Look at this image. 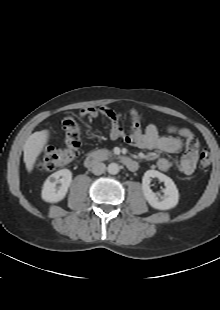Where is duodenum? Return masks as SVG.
<instances>
[{"label": "duodenum", "mask_w": 220, "mask_h": 310, "mask_svg": "<svg viewBox=\"0 0 220 310\" xmlns=\"http://www.w3.org/2000/svg\"><path fill=\"white\" fill-rule=\"evenodd\" d=\"M114 158H116L115 155L110 154L106 150H100L85 156L83 164L85 167L91 168L102 161L113 160ZM119 159L129 171L133 172L138 169V163L134 159L127 156H119Z\"/></svg>", "instance_id": "duodenum-1"}]
</instances>
